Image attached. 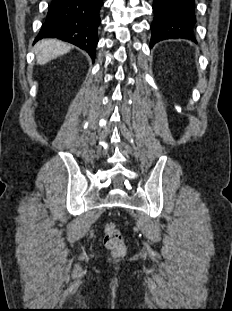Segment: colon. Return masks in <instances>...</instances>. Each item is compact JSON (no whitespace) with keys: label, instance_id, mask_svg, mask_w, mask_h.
I'll return each mask as SVG.
<instances>
[{"label":"colon","instance_id":"colon-1","mask_svg":"<svg viewBox=\"0 0 232 311\" xmlns=\"http://www.w3.org/2000/svg\"><path fill=\"white\" fill-rule=\"evenodd\" d=\"M103 244L115 257H120L126 252L122 234L116 224L112 222H108L104 226Z\"/></svg>","mask_w":232,"mask_h":311}]
</instances>
